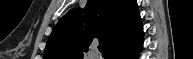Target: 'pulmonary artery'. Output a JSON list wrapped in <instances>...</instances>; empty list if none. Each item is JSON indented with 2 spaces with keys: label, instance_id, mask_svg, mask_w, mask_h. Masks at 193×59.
I'll list each match as a JSON object with an SVG mask.
<instances>
[{
  "label": "pulmonary artery",
  "instance_id": "1",
  "mask_svg": "<svg viewBox=\"0 0 193 59\" xmlns=\"http://www.w3.org/2000/svg\"><path fill=\"white\" fill-rule=\"evenodd\" d=\"M96 56H97V55H96V51L93 50L92 53H91V55H90V58H91V59H95Z\"/></svg>",
  "mask_w": 193,
  "mask_h": 59
}]
</instances>
